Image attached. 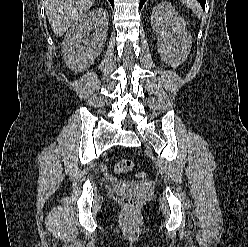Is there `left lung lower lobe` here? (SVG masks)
<instances>
[{
  "label": "left lung lower lobe",
  "instance_id": "left-lung-lower-lobe-1",
  "mask_svg": "<svg viewBox=\"0 0 248 247\" xmlns=\"http://www.w3.org/2000/svg\"><path fill=\"white\" fill-rule=\"evenodd\" d=\"M145 1L146 0H140V10H141L143 4L145 3ZM197 1L201 4V6H202V8L204 10L205 9L206 0H197Z\"/></svg>",
  "mask_w": 248,
  "mask_h": 247
}]
</instances>
